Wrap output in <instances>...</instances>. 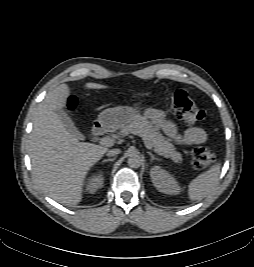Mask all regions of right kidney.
I'll return each mask as SVG.
<instances>
[{
	"instance_id": "1",
	"label": "right kidney",
	"mask_w": 254,
	"mask_h": 267,
	"mask_svg": "<svg viewBox=\"0 0 254 267\" xmlns=\"http://www.w3.org/2000/svg\"><path fill=\"white\" fill-rule=\"evenodd\" d=\"M104 177L103 173H96L92 175L87 182V190L90 193L96 192L99 188L103 187Z\"/></svg>"
}]
</instances>
